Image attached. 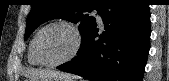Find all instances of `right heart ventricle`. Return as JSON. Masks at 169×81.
Segmentation results:
<instances>
[{
    "mask_svg": "<svg viewBox=\"0 0 169 81\" xmlns=\"http://www.w3.org/2000/svg\"><path fill=\"white\" fill-rule=\"evenodd\" d=\"M36 35V34H35ZM35 35L33 36V38L31 39L30 43H29V48H28V62L31 65H40L39 62L37 61V59L34 56L33 53V43H34V38Z\"/></svg>",
    "mask_w": 169,
    "mask_h": 81,
    "instance_id": "right-heart-ventricle-1",
    "label": "right heart ventricle"
}]
</instances>
